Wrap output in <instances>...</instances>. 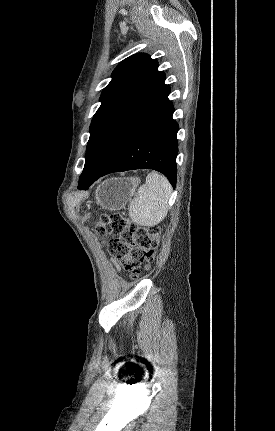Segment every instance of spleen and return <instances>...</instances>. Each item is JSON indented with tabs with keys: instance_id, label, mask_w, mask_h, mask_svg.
<instances>
[{
	"instance_id": "1",
	"label": "spleen",
	"mask_w": 275,
	"mask_h": 431,
	"mask_svg": "<svg viewBox=\"0 0 275 431\" xmlns=\"http://www.w3.org/2000/svg\"><path fill=\"white\" fill-rule=\"evenodd\" d=\"M172 193L169 181L156 172L149 173L146 183L139 187L130 201L129 216L143 226L159 224L168 213V201Z\"/></svg>"
}]
</instances>
